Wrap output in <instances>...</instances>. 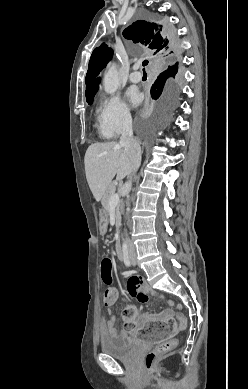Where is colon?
<instances>
[{
    "mask_svg": "<svg viewBox=\"0 0 248 389\" xmlns=\"http://www.w3.org/2000/svg\"><path fill=\"white\" fill-rule=\"evenodd\" d=\"M112 261L105 258L101 262V274L104 282L109 286L114 284L111 279ZM118 298V293L112 287H109L104 292V303L106 305L112 304ZM135 310L132 307H128L123 311L124 327L125 330L131 331L136 327ZM182 321L174 320L173 318L159 319V322H144L143 326H139L138 330H133L131 338H138L140 344H160L162 339L160 337H170L171 332L174 330L182 329ZM177 346L176 339H170L155 349L148 352L145 356V366L150 372L157 370L158 361L174 350Z\"/></svg>",
    "mask_w": 248,
    "mask_h": 389,
    "instance_id": "colon-1",
    "label": "colon"
}]
</instances>
